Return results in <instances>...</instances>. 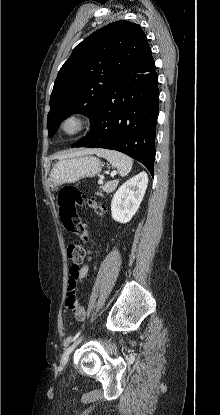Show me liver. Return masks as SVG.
<instances>
[{
    "mask_svg": "<svg viewBox=\"0 0 220 415\" xmlns=\"http://www.w3.org/2000/svg\"><path fill=\"white\" fill-rule=\"evenodd\" d=\"M95 150H87L86 152H94Z\"/></svg>",
    "mask_w": 220,
    "mask_h": 415,
    "instance_id": "1",
    "label": "liver"
}]
</instances>
